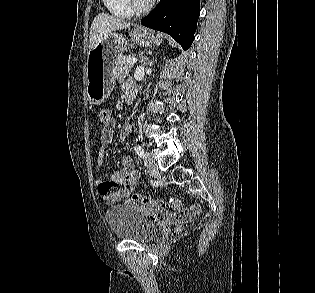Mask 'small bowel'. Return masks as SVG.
I'll return each mask as SVG.
<instances>
[{
    "mask_svg": "<svg viewBox=\"0 0 315 293\" xmlns=\"http://www.w3.org/2000/svg\"><path fill=\"white\" fill-rule=\"evenodd\" d=\"M122 92L125 96L130 93H135L134 83L126 82L122 87ZM114 128L115 121L110 115L108 122L102 127L101 144L97 157L98 166L102 165L104 162L107 147L113 140ZM130 130L131 123L128 121L122 126L119 132L120 142H123L126 139ZM138 177L139 172L135 169L133 160L130 157H127L122 161L121 169L115 172L110 180L103 181L97 179L95 180V187L102 202L106 205H113L130 196ZM113 189L115 190L113 191ZM151 216L152 218L161 221L174 219V216L171 215L170 211H152Z\"/></svg>",
    "mask_w": 315,
    "mask_h": 293,
    "instance_id": "small-bowel-1",
    "label": "small bowel"
}]
</instances>
